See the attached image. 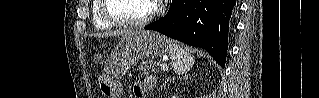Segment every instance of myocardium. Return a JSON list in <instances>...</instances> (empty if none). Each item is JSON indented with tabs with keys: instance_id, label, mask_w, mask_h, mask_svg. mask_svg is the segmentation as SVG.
Returning a JSON list of instances; mask_svg holds the SVG:
<instances>
[{
	"instance_id": "1",
	"label": "myocardium",
	"mask_w": 319,
	"mask_h": 98,
	"mask_svg": "<svg viewBox=\"0 0 319 98\" xmlns=\"http://www.w3.org/2000/svg\"><path fill=\"white\" fill-rule=\"evenodd\" d=\"M108 1L110 0H102L101 3V15L105 21L110 23L112 26L124 27V28H140L147 23H149L156 14L159 12L160 6L158 2L153 1L151 11L142 19L139 20H124L120 18H116L112 16L108 10Z\"/></svg>"
}]
</instances>
